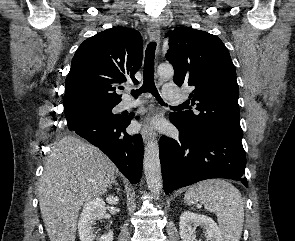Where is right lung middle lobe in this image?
I'll list each match as a JSON object with an SVG mask.
<instances>
[{"instance_id": "1", "label": "right lung middle lobe", "mask_w": 295, "mask_h": 241, "mask_svg": "<svg viewBox=\"0 0 295 241\" xmlns=\"http://www.w3.org/2000/svg\"><path fill=\"white\" fill-rule=\"evenodd\" d=\"M116 104L111 105H102V106H93L88 108L79 109L76 111L65 113L67 122L77 121L82 118L92 117V116H102L108 118H121L120 114H113L112 109Z\"/></svg>"}]
</instances>
